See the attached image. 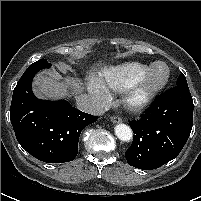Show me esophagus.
I'll return each mask as SVG.
<instances>
[{
  "label": "esophagus",
  "instance_id": "obj_1",
  "mask_svg": "<svg viewBox=\"0 0 201 201\" xmlns=\"http://www.w3.org/2000/svg\"><path fill=\"white\" fill-rule=\"evenodd\" d=\"M110 120L112 123H120L122 121L119 116H111Z\"/></svg>",
  "mask_w": 201,
  "mask_h": 201
}]
</instances>
